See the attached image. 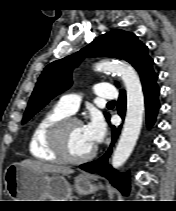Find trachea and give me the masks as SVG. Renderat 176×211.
<instances>
[{
  "instance_id": "trachea-1",
  "label": "trachea",
  "mask_w": 176,
  "mask_h": 211,
  "mask_svg": "<svg viewBox=\"0 0 176 211\" xmlns=\"http://www.w3.org/2000/svg\"><path fill=\"white\" fill-rule=\"evenodd\" d=\"M108 104H115V101H110L108 102Z\"/></svg>"
}]
</instances>
